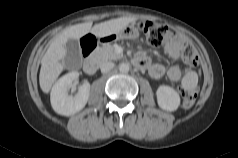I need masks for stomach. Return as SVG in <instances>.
I'll return each mask as SVG.
<instances>
[{"instance_id":"obj_1","label":"stomach","mask_w":238,"mask_h":158,"mask_svg":"<svg viewBox=\"0 0 238 158\" xmlns=\"http://www.w3.org/2000/svg\"><path fill=\"white\" fill-rule=\"evenodd\" d=\"M139 37V31L134 25H127L120 31L108 36L107 40L135 39Z\"/></svg>"}]
</instances>
